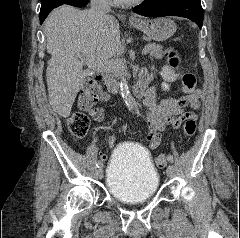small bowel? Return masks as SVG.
<instances>
[{
  "label": "small bowel",
  "instance_id": "c3829d8e",
  "mask_svg": "<svg viewBox=\"0 0 240 238\" xmlns=\"http://www.w3.org/2000/svg\"><path fill=\"white\" fill-rule=\"evenodd\" d=\"M202 92L200 89H194L192 92L182 97H170L158 101L156 99V89L151 87L147 90L143 104L146 107V118L149 132L147 141L151 148L157 147L161 142L159 132L164 131L167 126L178 129L188 118L197 119L196 111L200 107V98ZM110 99L107 93H101L99 100L107 102ZM91 117L95 121H101L104 118V109L102 107L92 108ZM108 146H115V138H108ZM114 149V148H113ZM99 159L108 161L107 154H99Z\"/></svg>",
  "mask_w": 240,
  "mask_h": 238
}]
</instances>
